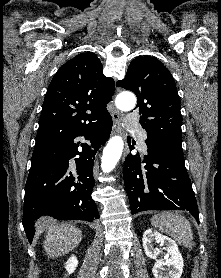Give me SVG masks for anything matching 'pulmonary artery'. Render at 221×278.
I'll return each mask as SVG.
<instances>
[{"label":"pulmonary artery","mask_w":221,"mask_h":278,"mask_svg":"<svg viewBox=\"0 0 221 278\" xmlns=\"http://www.w3.org/2000/svg\"><path fill=\"white\" fill-rule=\"evenodd\" d=\"M125 125L129 129H135V130L139 129V122L133 115H128L126 117ZM146 139H147L146 133L144 131H140L139 142H140L141 148L144 151H146V149H147Z\"/></svg>","instance_id":"1"}]
</instances>
